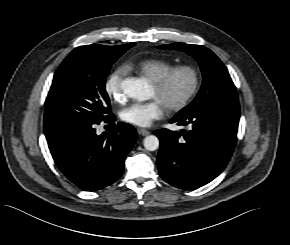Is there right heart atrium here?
Returning <instances> with one entry per match:
<instances>
[{"label":"right heart atrium","instance_id":"right-heart-atrium-1","mask_svg":"<svg viewBox=\"0 0 290 245\" xmlns=\"http://www.w3.org/2000/svg\"><path fill=\"white\" fill-rule=\"evenodd\" d=\"M126 74V68L121 66L114 69L105 82V92L110 99L117 103H123L126 100V93L122 86L123 78Z\"/></svg>","mask_w":290,"mask_h":245}]
</instances>
